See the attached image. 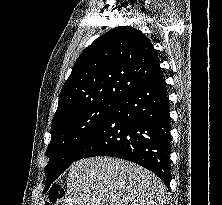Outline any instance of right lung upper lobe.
Instances as JSON below:
<instances>
[{"label":"right lung upper lobe","instance_id":"right-lung-upper-lobe-1","mask_svg":"<svg viewBox=\"0 0 222 205\" xmlns=\"http://www.w3.org/2000/svg\"><path fill=\"white\" fill-rule=\"evenodd\" d=\"M160 74L159 58L150 40L130 26L114 28L77 59L61 90L53 123L98 103L121 101Z\"/></svg>","mask_w":222,"mask_h":205}]
</instances>
